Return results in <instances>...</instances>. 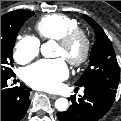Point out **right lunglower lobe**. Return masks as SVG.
I'll return each instance as SVG.
<instances>
[{
  "mask_svg": "<svg viewBox=\"0 0 121 121\" xmlns=\"http://www.w3.org/2000/svg\"><path fill=\"white\" fill-rule=\"evenodd\" d=\"M10 77H1V121H19L30 105L29 89L23 84L8 88Z\"/></svg>",
  "mask_w": 121,
  "mask_h": 121,
  "instance_id": "right-lung-lower-lobe-1",
  "label": "right lung lower lobe"
}]
</instances>
